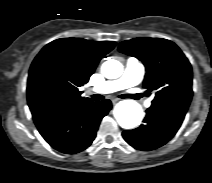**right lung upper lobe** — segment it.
Segmentation results:
<instances>
[{
	"instance_id": "obj_1",
	"label": "right lung upper lobe",
	"mask_w": 212,
	"mask_h": 183,
	"mask_svg": "<svg viewBox=\"0 0 212 183\" xmlns=\"http://www.w3.org/2000/svg\"><path fill=\"white\" fill-rule=\"evenodd\" d=\"M115 45L81 38H61L47 44L29 70L27 99L33 117L56 107L92 102L81 97L78 88L88 82L100 59Z\"/></svg>"
}]
</instances>
